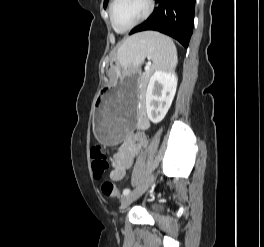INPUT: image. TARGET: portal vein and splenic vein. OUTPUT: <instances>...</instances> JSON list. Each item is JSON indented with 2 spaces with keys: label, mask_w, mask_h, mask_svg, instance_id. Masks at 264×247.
I'll use <instances>...</instances> for the list:
<instances>
[{
  "label": "portal vein and splenic vein",
  "mask_w": 264,
  "mask_h": 247,
  "mask_svg": "<svg viewBox=\"0 0 264 247\" xmlns=\"http://www.w3.org/2000/svg\"><path fill=\"white\" fill-rule=\"evenodd\" d=\"M150 67V63L147 64V66L145 67V71H148Z\"/></svg>",
  "instance_id": "1"
}]
</instances>
